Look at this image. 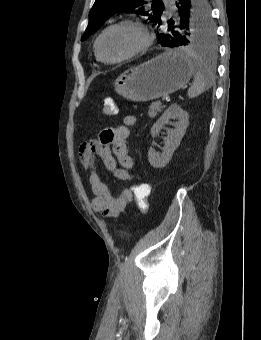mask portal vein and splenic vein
I'll return each instance as SVG.
<instances>
[{
  "instance_id": "18ae733b",
  "label": "portal vein and splenic vein",
  "mask_w": 261,
  "mask_h": 340,
  "mask_svg": "<svg viewBox=\"0 0 261 340\" xmlns=\"http://www.w3.org/2000/svg\"><path fill=\"white\" fill-rule=\"evenodd\" d=\"M167 99H168L167 97H163L162 102H165Z\"/></svg>"
}]
</instances>
